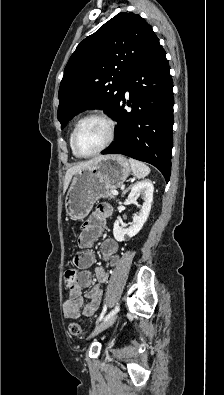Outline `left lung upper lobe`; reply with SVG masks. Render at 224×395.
<instances>
[{
  "label": "left lung upper lobe",
  "instance_id": "5c2ea615",
  "mask_svg": "<svg viewBox=\"0 0 224 395\" xmlns=\"http://www.w3.org/2000/svg\"><path fill=\"white\" fill-rule=\"evenodd\" d=\"M157 40L151 25L134 13L117 14L84 39L60 83L57 118L61 128L88 108H102L112 118L128 76Z\"/></svg>",
  "mask_w": 224,
  "mask_h": 395
}]
</instances>
